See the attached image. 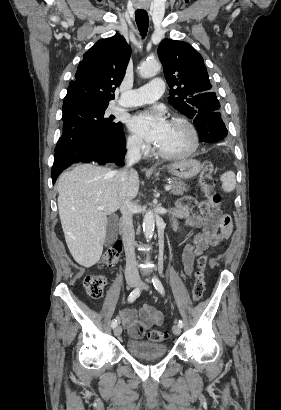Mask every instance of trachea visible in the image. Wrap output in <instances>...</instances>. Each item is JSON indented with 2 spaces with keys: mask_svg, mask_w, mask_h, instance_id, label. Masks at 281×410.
Wrapping results in <instances>:
<instances>
[{
  "mask_svg": "<svg viewBox=\"0 0 281 410\" xmlns=\"http://www.w3.org/2000/svg\"><path fill=\"white\" fill-rule=\"evenodd\" d=\"M135 18H136L137 27L139 29L141 36L145 37L148 31V23H149L148 13L146 11H136Z\"/></svg>",
  "mask_w": 281,
  "mask_h": 410,
  "instance_id": "1",
  "label": "trachea"
}]
</instances>
